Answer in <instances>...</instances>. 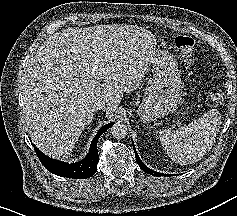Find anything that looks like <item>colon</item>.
Returning <instances> with one entry per match:
<instances>
[{
    "instance_id": "colon-1",
    "label": "colon",
    "mask_w": 237,
    "mask_h": 216,
    "mask_svg": "<svg viewBox=\"0 0 237 216\" xmlns=\"http://www.w3.org/2000/svg\"><path fill=\"white\" fill-rule=\"evenodd\" d=\"M174 44L178 52L186 61H190L192 59L195 48V41L193 38L179 35L175 38ZM213 98L217 101H220L223 98L222 91L214 92Z\"/></svg>"
}]
</instances>
